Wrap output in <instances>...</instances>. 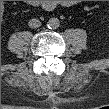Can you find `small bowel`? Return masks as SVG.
<instances>
[{
    "label": "small bowel",
    "mask_w": 109,
    "mask_h": 109,
    "mask_svg": "<svg viewBox=\"0 0 109 109\" xmlns=\"http://www.w3.org/2000/svg\"><path fill=\"white\" fill-rule=\"evenodd\" d=\"M46 9H49L50 7L48 5L45 6Z\"/></svg>",
    "instance_id": "obj_1"
}]
</instances>
